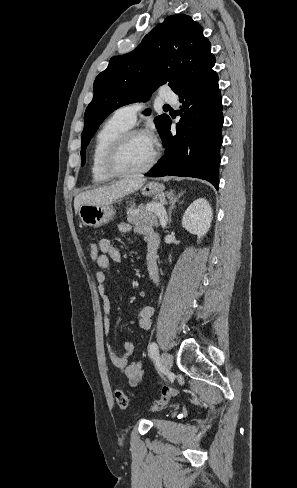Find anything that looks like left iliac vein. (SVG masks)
<instances>
[{"mask_svg": "<svg viewBox=\"0 0 297 488\" xmlns=\"http://www.w3.org/2000/svg\"><path fill=\"white\" fill-rule=\"evenodd\" d=\"M161 362H162L164 369L166 371H170V369L173 365V358L169 353L163 352L161 354Z\"/></svg>", "mask_w": 297, "mask_h": 488, "instance_id": "1", "label": "left iliac vein"}]
</instances>
